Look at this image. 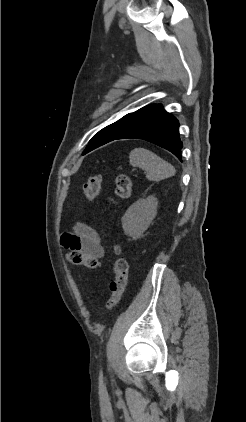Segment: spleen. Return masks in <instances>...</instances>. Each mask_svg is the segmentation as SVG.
I'll return each mask as SVG.
<instances>
[{
	"label": "spleen",
	"mask_w": 246,
	"mask_h": 422,
	"mask_svg": "<svg viewBox=\"0 0 246 422\" xmlns=\"http://www.w3.org/2000/svg\"><path fill=\"white\" fill-rule=\"evenodd\" d=\"M129 162L132 166L143 169L146 178L151 181H160L176 173L173 165L145 148L133 149L129 154Z\"/></svg>",
	"instance_id": "3e777b00"
}]
</instances>
